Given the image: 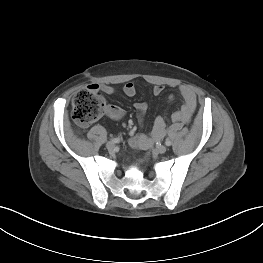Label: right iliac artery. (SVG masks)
I'll return each instance as SVG.
<instances>
[{
  "label": "right iliac artery",
  "instance_id": "82829eb1",
  "mask_svg": "<svg viewBox=\"0 0 263 263\" xmlns=\"http://www.w3.org/2000/svg\"><path fill=\"white\" fill-rule=\"evenodd\" d=\"M111 141L114 143H119L120 142V138H111Z\"/></svg>",
  "mask_w": 263,
  "mask_h": 263
}]
</instances>
